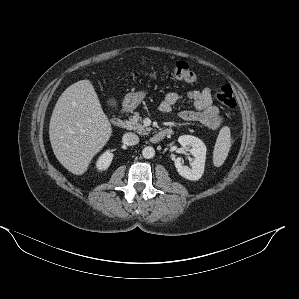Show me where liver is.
Here are the masks:
<instances>
[{"mask_svg":"<svg viewBox=\"0 0 299 299\" xmlns=\"http://www.w3.org/2000/svg\"><path fill=\"white\" fill-rule=\"evenodd\" d=\"M112 134L90 80L69 86L59 97L49 125L57 160L71 173L82 175Z\"/></svg>","mask_w":299,"mask_h":299,"instance_id":"1","label":"liver"}]
</instances>
